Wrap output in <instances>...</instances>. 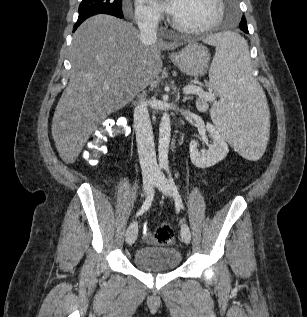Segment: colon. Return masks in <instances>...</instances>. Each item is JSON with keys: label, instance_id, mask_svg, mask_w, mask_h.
Here are the masks:
<instances>
[{"label": "colon", "instance_id": "colon-1", "mask_svg": "<svg viewBox=\"0 0 307 317\" xmlns=\"http://www.w3.org/2000/svg\"><path fill=\"white\" fill-rule=\"evenodd\" d=\"M126 124L117 119H107L90 134L85 145V158L91 164H97L99 158L107 151L106 143L109 139L119 136L125 130ZM154 238L160 245L173 242L172 228L165 223L156 226Z\"/></svg>", "mask_w": 307, "mask_h": 317}]
</instances>
